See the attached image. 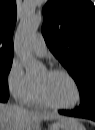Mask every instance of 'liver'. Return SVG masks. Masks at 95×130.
<instances>
[{
  "mask_svg": "<svg viewBox=\"0 0 95 130\" xmlns=\"http://www.w3.org/2000/svg\"><path fill=\"white\" fill-rule=\"evenodd\" d=\"M64 117L51 112L21 109L12 104L0 105V130H39L43 120H62Z\"/></svg>",
  "mask_w": 95,
  "mask_h": 130,
  "instance_id": "obj_1",
  "label": "liver"
}]
</instances>
